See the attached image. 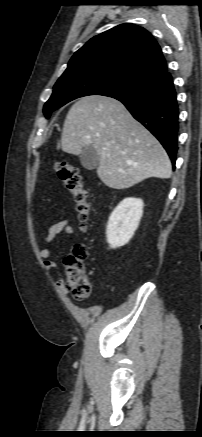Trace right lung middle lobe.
<instances>
[{"label":"right lung middle lobe","mask_w":202,"mask_h":437,"mask_svg":"<svg viewBox=\"0 0 202 437\" xmlns=\"http://www.w3.org/2000/svg\"><path fill=\"white\" fill-rule=\"evenodd\" d=\"M148 85L147 81L113 71H70L64 73L54 85L53 94L44 105L43 112L49 118L51 112L76 98L88 95L115 97L135 94Z\"/></svg>","instance_id":"right-lung-middle-lobe-1"}]
</instances>
